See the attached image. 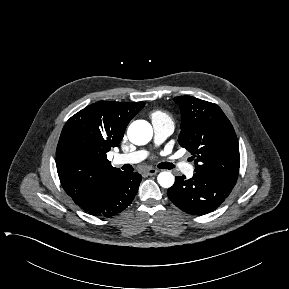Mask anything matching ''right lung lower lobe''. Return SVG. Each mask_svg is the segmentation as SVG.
<instances>
[{
  "label": "right lung lower lobe",
  "mask_w": 289,
  "mask_h": 289,
  "mask_svg": "<svg viewBox=\"0 0 289 289\" xmlns=\"http://www.w3.org/2000/svg\"><path fill=\"white\" fill-rule=\"evenodd\" d=\"M140 182V174L122 172L92 198L78 205L91 215L113 216L133 201Z\"/></svg>",
  "instance_id": "98d812e1"
}]
</instances>
